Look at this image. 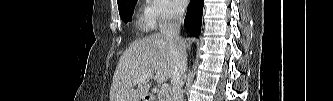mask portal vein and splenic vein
Returning a JSON list of instances; mask_svg holds the SVG:
<instances>
[{
  "label": "portal vein and splenic vein",
  "mask_w": 333,
  "mask_h": 101,
  "mask_svg": "<svg viewBox=\"0 0 333 101\" xmlns=\"http://www.w3.org/2000/svg\"><path fill=\"white\" fill-rule=\"evenodd\" d=\"M151 78H154V75L152 73L145 74L141 77V79L138 81V83L144 82V81H146L148 79H151ZM168 90H169V85L166 84V83H163L162 86H161V91L163 93H166Z\"/></svg>",
  "instance_id": "18ae733b"
}]
</instances>
